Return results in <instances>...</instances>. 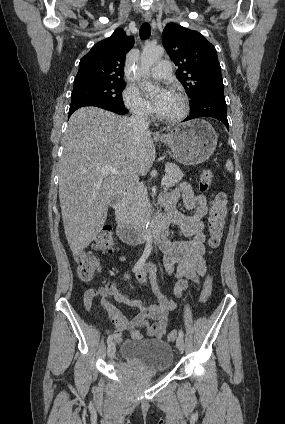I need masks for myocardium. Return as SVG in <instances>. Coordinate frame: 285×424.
Listing matches in <instances>:
<instances>
[{
  "label": "myocardium",
  "instance_id": "myocardium-1",
  "mask_svg": "<svg viewBox=\"0 0 285 424\" xmlns=\"http://www.w3.org/2000/svg\"><path fill=\"white\" fill-rule=\"evenodd\" d=\"M174 94L176 96H178L182 101V104H183L182 111L174 117H162L159 114H157V118L161 122H164V123H167V124H177V123L183 121L189 114L190 105H189V99H188L187 95L185 93L181 92V91H174Z\"/></svg>",
  "mask_w": 285,
  "mask_h": 424
}]
</instances>
